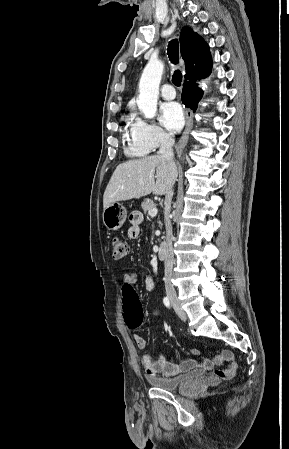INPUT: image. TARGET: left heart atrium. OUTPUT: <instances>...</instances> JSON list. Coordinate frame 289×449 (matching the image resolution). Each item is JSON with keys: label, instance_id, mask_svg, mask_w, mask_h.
<instances>
[{"label": "left heart atrium", "instance_id": "obj_1", "mask_svg": "<svg viewBox=\"0 0 289 449\" xmlns=\"http://www.w3.org/2000/svg\"><path fill=\"white\" fill-rule=\"evenodd\" d=\"M160 121L169 130L179 131L185 122L182 107L177 102H166L160 106Z\"/></svg>", "mask_w": 289, "mask_h": 449}]
</instances>
